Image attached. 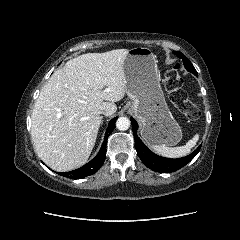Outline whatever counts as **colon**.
<instances>
[{
    "instance_id": "1",
    "label": "colon",
    "mask_w": 240,
    "mask_h": 240,
    "mask_svg": "<svg viewBox=\"0 0 240 240\" xmlns=\"http://www.w3.org/2000/svg\"><path fill=\"white\" fill-rule=\"evenodd\" d=\"M183 81L177 65L172 66L166 71L164 78V86L168 92L171 102L178 108V110L190 119H198L200 110L189 100L184 91Z\"/></svg>"
}]
</instances>
